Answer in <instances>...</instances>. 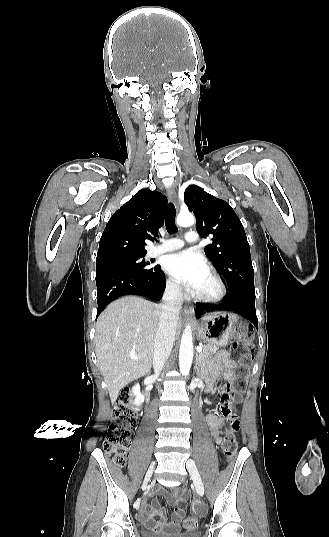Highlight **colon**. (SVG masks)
Here are the masks:
<instances>
[{
    "instance_id": "colon-1",
    "label": "colon",
    "mask_w": 329,
    "mask_h": 537,
    "mask_svg": "<svg viewBox=\"0 0 329 537\" xmlns=\"http://www.w3.org/2000/svg\"><path fill=\"white\" fill-rule=\"evenodd\" d=\"M252 336L251 330L242 332L239 336V341L243 343L245 352L239 358V368L232 389L228 387L222 395L223 413L226 416H229L231 407L240 400L241 394L247 386L249 367L252 362ZM134 401L135 394L132 391L125 390L120 393L115 403L114 414L104 441L106 454L110 455L119 465H123L125 462V457L130 447L132 430L136 424L133 412ZM238 426L236 420L228 418L222 428L221 447L228 459L233 458L237 452L238 445L235 432ZM184 525L188 529H194L198 525V519L195 516H189Z\"/></svg>"
}]
</instances>
